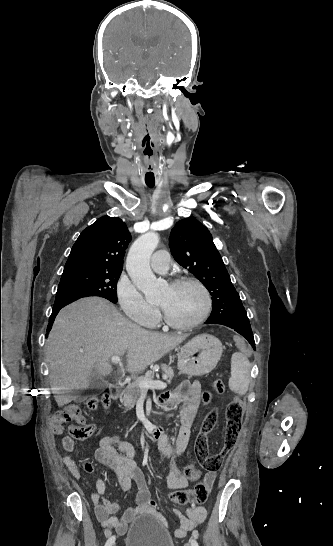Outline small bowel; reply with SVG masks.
<instances>
[{
  "label": "small bowel",
  "instance_id": "1",
  "mask_svg": "<svg viewBox=\"0 0 333 546\" xmlns=\"http://www.w3.org/2000/svg\"><path fill=\"white\" fill-rule=\"evenodd\" d=\"M232 337L235 341V346L241 349V354L245 356L249 355L251 350L249 346H246V341L242 338V333L238 331L234 332ZM160 404L162 407L183 404V409L180 412L181 427L175 443L172 444L168 436L163 432L157 439L160 457L167 458L169 461L167 471L164 474L166 486L171 489L185 488L189 481H195L202 477V482L210 490L216 478L215 472H206L202 475L199 471L194 476L186 477L177 465L178 459L188 446L192 426L200 409L201 386L199 382L184 381L180 383L173 392L161 395ZM71 418L76 419L79 423H84L85 421L81 413L77 416H65V420H70ZM62 446L68 453L73 452L76 448L75 441L68 436L62 438ZM95 458L112 470L123 490H130L133 484L137 487L134 506L127 509L120 517H117L114 514L118 511V504L103 497L105 483L102 480L97 482L96 490L90 494V498L95 506L96 517L105 528L106 534H109L113 530L123 533L130 521L144 513L153 514L160 523L165 527L168 526L157 504L151 499L147 481L133 460L134 448L129 442L124 441L119 436H104L95 451ZM62 459L70 473L76 479H79L80 462L68 454L63 455ZM83 467L87 471L91 470V464L87 461H84ZM172 510L180 521L179 527L174 531L177 537H182L192 531L207 516L205 508L196 506L195 504H191L186 515H183L177 509Z\"/></svg>",
  "mask_w": 333,
  "mask_h": 546
}]
</instances>
